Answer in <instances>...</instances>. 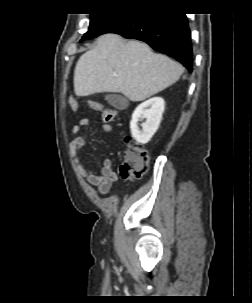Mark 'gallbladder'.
Returning <instances> with one entry per match:
<instances>
[{
  "label": "gallbladder",
  "mask_w": 252,
  "mask_h": 303,
  "mask_svg": "<svg viewBox=\"0 0 252 303\" xmlns=\"http://www.w3.org/2000/svg\"><path fill=\"white\" fill-rule=\"evenodd\" d=\"M105 99L111 106L119 110L128 106V99L120 94H109L105 96Z\"/></svg>",
  "instance_id": "bac80fb5"
}]
</instances>
